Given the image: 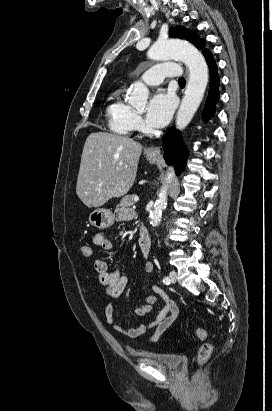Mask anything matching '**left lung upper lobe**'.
<instances>
[{
	"instance_id": "left-lung-upper-lobe-1",
	"label": "left lung upper lobe",
	"mask_w": 272,
	"mask_h": 411,
	"mask_svg": "<svg viewBox=\"0 0 272 411\" xmlns=\"http://www.w3.org/2000/svg\"><path fill=\"white\" fill-rule=\"evenodd\" d=\"M169 36L172 38H180L190 41L198 49H202L203 54L208 52L207 49H204L205 41L197 37L195 32H192L183 26H176L174 28H171L169 30Z\"/></svg>"
}]
</instances>
